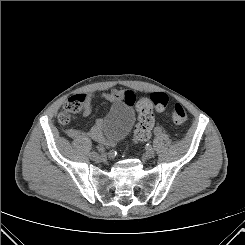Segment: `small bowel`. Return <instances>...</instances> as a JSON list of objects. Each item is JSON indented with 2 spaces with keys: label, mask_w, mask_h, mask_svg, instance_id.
Segmentation results:
<instances>
[{
  "label": "small bowel",
  "mask_w": 245,
  "mask_h": 245,
  "mask_svg": "<svg viewBox=\"0 0 245 245\" xmlns=\"http://www.w3.org/2000/svg\"><path fill=\"white\" fill-rule=\"evenodd\" d=\"M95 95H90L87 98L84 113L89 115L91 112V102L95 99ZM101 99H104L109 102H117L124 101V103L132 107L136 102L135 94L130 90H121V89H113L110 92L102 93L99 95ZM66 133L71 138H80L83 136H88L94 141L105 142L107 139L103 135L102 131V122L100 120L96 121V123L87 131H81L75 128H68Z\"/></svg>",
  "instance_id": "1"
}]
</instances>
